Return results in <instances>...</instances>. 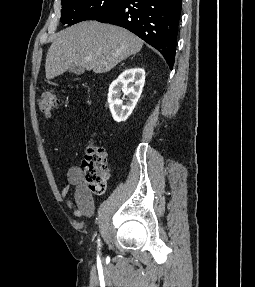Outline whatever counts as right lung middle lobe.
Returning a JSON list of instances; mask_svg holds the SVG:
<instances>
[{
	"label": "right lung middle lobe",
	"mask_w": 255,
	"mask_h": 287,
	"mask_svg": "<svg viewBox=\"0 0 255 287\" xmlns=\"http://www.w3.org/2000/svg\"><path fill=\"white\" fill-rule=\"evenodd\" d=\"M61 22L73 25L85 20H95L106 10L115 7L124 0H61Z\"/></svg>",
	"instance_id": "1"
}]
</instances>
